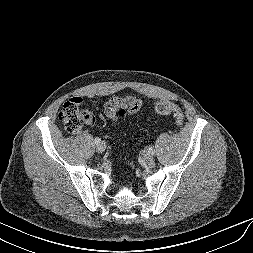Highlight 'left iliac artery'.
I'll use <instances>...</instances> for the list:
<instances>
[{"instance_id": "left-iliac-artery-1", "label": "left iliac artery", "mask_w": 253, "mask_h": 253, "mask_svg": "<svg viewBox=\"0 0 253 253\" xmlns=\"http://www.w3.org/2000/svg\"><path fill=\"white\" fill-rule=\"evenodd\" d=\"M148 150L151 151L153 154L155 152V149L153 147H149Z\"/></svg>"}]
</instances>
